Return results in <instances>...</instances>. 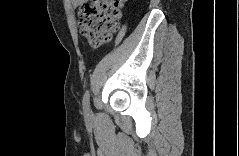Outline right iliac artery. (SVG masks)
Segmentation results:
<instances>
[{
  "mask_svg": "<svg viewBox=\"0 0 239 156\" xmlns=\"http://www.w3.org/2000/svg\"><path fill=\"white\" fill-rule=\"evenodd\" d=\"M89 98V91H86L83 97V110L86 114L90 112Z\"/></svg>",
  "mask_w": 239,
  "mask_h": 156,
  "instance_id": "1",
  "label": "right iliac artery"
}]
</instances>
